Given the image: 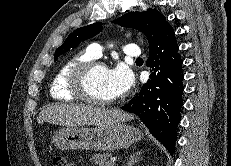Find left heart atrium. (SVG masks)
Listing matches in <instances>:
<instances>
[{
    "instance_id": "left-heart-atrium-1",
    "label": "left heart atrium",
    "mask_w": 231,
    "mask_h": 166,
    "mask_svg": "<svg viewBox=\"0 0 231 166\" xmlns=\"http://www.w3.org/2000/svg\"><path fill=\"white\" fill-rule=\"evenodd\" d=\"M108 84L114 97L125 95L134 84L132 72L119 64L108 70Z\"/></svg>"
}]
</instances>
